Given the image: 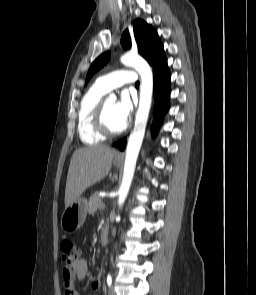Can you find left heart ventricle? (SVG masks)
<instances>
[{"mask_svg": "<svg viewBox=\"0 0 256 295\" xmlns=\"http://www.w3.org/2000/svg\"><path fill=\"white\" fill-rule=\"evenodd\" d=\"M115 101L106 100L105 102V120L109 128L112 130H119L123 126L120 124L115 115Z\"/></svg>", "mask_w": 256, "mask_h": 295, "instance_id": "b2bd125f", "label": "left heart ventricle"}]
</instances>
